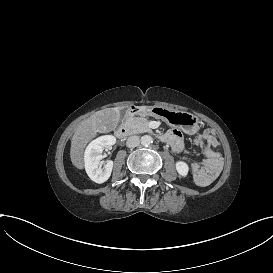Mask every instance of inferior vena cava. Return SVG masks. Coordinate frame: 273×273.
<instances>
[{
    "label": "inferior vena cava",
    "instance_id": "inferior-vena-cava-1",
    "mask_svg": "<svg viewBox=\"0 0 273 273\" xmlns=\"http://www.w3.org/2000/svg\"><path fill=\"white\" fill-rule=\"evenodd\" d=\"M139 137L136 135L129 136L126 141V146L129 148H135L139 145Z\"/></svg>",
    "mask_w": 273,
    "mask_h": 273
}]
</instances>
